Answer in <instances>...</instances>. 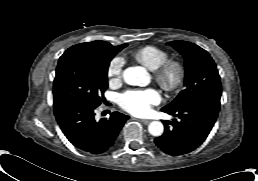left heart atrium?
Instances as JSON below:
<instances>
[{
    "instance_id": "39dd6f15",
    "label": "left heart atrium",
    "mask_w": 258,
    "mask_h": 181,
    "mask_svg": "<svg viewBox=\"0 0 258 181\" xmlns=\"http://www.w3.org/2000/svg\"><path fill=\"white\" fill-rule=\"evenodd\" d=\"M121 107L134 115H145L160 102L159 93L153 89L131 90L120 96Z\"/></svg>"
}]
</instances>
